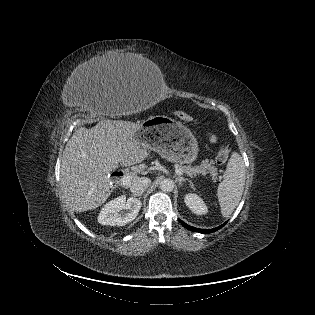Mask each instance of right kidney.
I'll use <instances>...</instances> for the list:
<instances>
[{"instance_id": "right-kidney-1", "label": "right kidney", "mask_w": 315, "mask_h": 315, "mask_svg": "<svg viewBox=\"0 0 315 315\" xmlns=\"http://www.w3.org/2000/svg\"><path fill=\"white\" fill-rule=\"evenodd\" d=\"M141 206L139 199L130 197L126 200V196H119L104 205L99 213L98 222L102 225L124 226L137 217ZM122 210L127 212L119 214Z\"/></svg>"}]
</instances>
